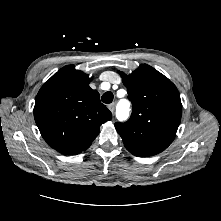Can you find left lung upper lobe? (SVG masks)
<instances>
[{
  "label": "left lung upper lobe",
  "mask_w": 221,
  "mask_h": 221,
  "mask_svg": "<svg viewBox=\"0 0 221 221\" xmlns=\"http://www.w3.org/2000/svg\"><path fill=\"white\" fill-rule=\"evenodd\" d=\"M120 75L133 106L129 121L115 124L126 149L139 157L162 152L174 140L181 120L176 86L146 64L129 75Z\"/></svg>",
  "instance_id": "5c2ea615"
}]
</instances>
